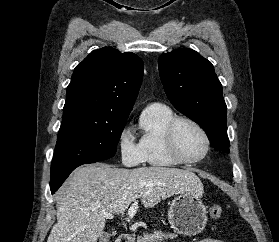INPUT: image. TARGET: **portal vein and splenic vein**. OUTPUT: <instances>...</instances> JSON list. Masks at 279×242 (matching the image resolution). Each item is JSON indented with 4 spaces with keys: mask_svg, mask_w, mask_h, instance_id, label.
Listing matches in <instances>:
<instances>
[{
    "mask_svg": "<svg viewBox=\"0 0 279 242\" xmlns=\"http://www.w3.org/2000/svg\"><path fill=\"white\" fill-rule=\"evenodd\" d=\"M137 208H138V202L134 201V203L132 204V206L128 210V215H129L130 218L134 216V214L137 211ZM104 217L106 219H113L114 216L111 213H104Z\"/></svg>",
    "mask_w": 279,
    "mask_h": 242,
    "instance_id": "obj_1",
    "label": "portal vein and splenic vein"
}]
</instances>
